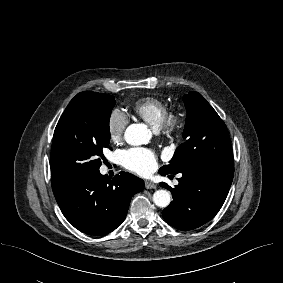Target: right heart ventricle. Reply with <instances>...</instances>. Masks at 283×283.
<instances>
[{
	"instance_id": "1",
	"label": "right heart ventricle",
	"mask_w": 283,
	"mask_h": 283,
	"mask_svg": "<svg viewBox=\"0 0 283 283\" xmlns=\"http://www.w3.org/2000/svg\"><path fill=\"white\" fill-rule=\"evenodd\" d=\"M132 112L158 130L163 117L168 111V103L155 96H146L137 100L132 106Z\"/></svg>"
}]
</instances>
